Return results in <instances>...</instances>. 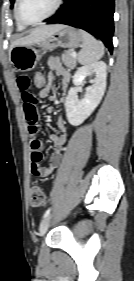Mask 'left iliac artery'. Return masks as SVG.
Instances as JSON below:
<instances>
[{"label": "left iliac artery", "instance_id": "1", "mask_svg": "<svg viewBox=\"0 0 134 281\" xmlns=\"http://www.w3.org/2000/svg\"><path fill=\"white\" fill-rule=\"evenodd\" d=\"M51 208L47 209L44 213L43 220L50 214Z\"/></svg>", "mask_w": 134, "mask_h": 281}]
</instances>
